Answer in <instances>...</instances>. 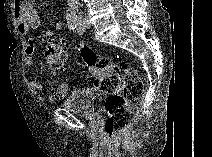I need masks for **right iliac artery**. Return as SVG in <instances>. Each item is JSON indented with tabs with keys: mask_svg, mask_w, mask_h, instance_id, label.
<instances>
[{
	"mask_svg": "<svg viewBox=\"0 0 212 157\" xmlns=\"http://www.w3.org/2000/svg\"><path fill=\"white\" fill-rule=\"evenodd\" d=\"M67 25L71 30H75L77 28V17L75 14H71L67 17Z\"/></svg>",
	"mask_w": 212,
	"mask_h": 157,
	"instance_id": "obj_1",
	"label": "right iliac artery"
}]
</instances>
